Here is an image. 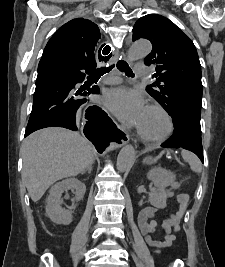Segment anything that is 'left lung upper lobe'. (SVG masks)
Returning <instances> with one entry per match:
<instances>
[{"label": "left lung upper lobe", "instance_id": "left-lung-upper-lobe-1", "mask_svg": "<svg viewBox=\"0 0 225 267\" xmlns=\"http://www.w3.org/2000/svg\"><path fill=\"white\" fill-rule=\"evenodd\" d=\"M148 39L153 50L145 64L154 66L156 81L147 92L166 110L175 124L182 110L195 103L202 106L201 65L190 38L166 17L149 14L137 20L133 41Z\"/></svg>", "mask_w": 225, "mask_h": 267}]
</instances>
